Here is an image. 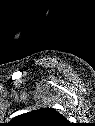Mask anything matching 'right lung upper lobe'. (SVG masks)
I'll use <instances>...</instances> for the list:
<instances>
[{
	"mask_svg": "<svg viewBox=\"0 0 95 126\" xmlns=\"http://www.w3.org/2000/svg\"><path fill=\"white\" fill-rule=\"evenodd\" d=\"M18 126H68L67 119L52 108H41L13 119Z\"/></svg>",
	"mask_w": 95,
	"mask_h": 126,
	"instance_id": "cb5924a9",
	"label": "right lung upper lobe"
}]
</instances>
